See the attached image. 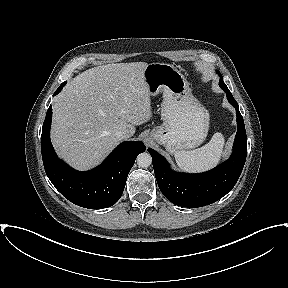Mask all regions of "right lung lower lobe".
<instances>
[{
    "mask_svg": "<svg viewBox=\"0 0 288 288\" xmlns=\"http://www.w3.org/2000/svg\"><path fill=\"white\" fill-rule=\"evenodd\" d=\"M51 118L50 106L42 128L41 152L46 174L52 184L65 198L78 206L101 209L114 205L123 193L136 157L145 151V145L141 141L123 142L100 166L86 172L76 171L55 154L50 141Z\"/></svg>",
    "mask_w": 288,
    "mask_h": 288,
    "instance_id": "1",
    "label": "right lung lower lobe"
}]
</instances>
